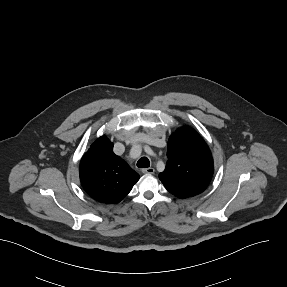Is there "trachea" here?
I'll use <instances>...</instances> for the list:
<instances>
[{
    "label": "trachea",
    "mask_w": 287,
    "mask_h": 287,
    "mask_svg": "<svg viewBox=\"0 0 287 287\" xmlns=\"http://www.w3.org/2000/svg\"><path fill=\"white\" fill-rule=\"evenodd\" d=\"M150 166V161L147 157H142L137 162V167L148 168Z\"/></svg>",
    "instance_id": "1"
}]
</instances>
